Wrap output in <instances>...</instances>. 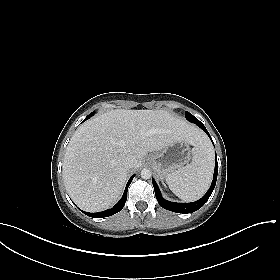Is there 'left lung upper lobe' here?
I'll use <instances>...</instances> for the list:
<instances>
[{"instance_id":"left-lung-upper-lobe-1","label":"left lung upper lobe","mask_w":280,"mask_h":280,"mask_svg":"<svg viewBox=\"0 0 280 280\" xmlns=\"http://www.w3.org/2000/svg\"><path fill=\"white\" fill-rule=\"evenodd\" d=\"M185 116L187 118V120H189L190 122H192V120L198 121V119H196L191 113L186 112ZM196 124V123H195Z\"/></svg>"}]
</instances>
